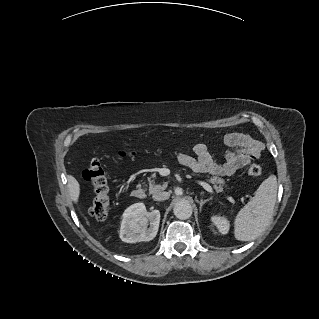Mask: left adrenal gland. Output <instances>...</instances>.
<instances>
[{
  "label": "left adrenal gland",
  "instance_id": "a2214340",
  "mask_svg": "<svg viewBox=\"0 0 319 319\" xmlns=\"http://www.w3.org/2000/svg\"><path fill=\"white\" fill-rule=\"evenodd\" d=\"M210 200H211V198H208V199H206V200L201 199L200 201L197 200V203H199V205H200V211H201L203 205H204L205 203H207L208 201H210Z\"/></svg>",
  "mask_w": 319,
  "mask_h": 319
}]
</instances>
